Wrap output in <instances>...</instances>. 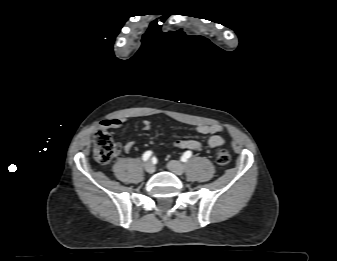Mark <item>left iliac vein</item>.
Returning <instances> with one entry per match:
<instances>
[{
  "label": "left iliac vein",
  "mask_w": 337,
  "mask_h": 261,
  "mask_svg": "<svg viewBox=\"0 0 337 261\" xmlns=\"http://www.w3.org/2000/svg\"><path fill=\"white\" fill-rule=\"evenodd\" d=\"M168 169L173 172L174 174L180 176L184 173V165L178 161L171 160L167 164Z\"/></svg>",
  "instance_id": "1"
}]
</instances>
